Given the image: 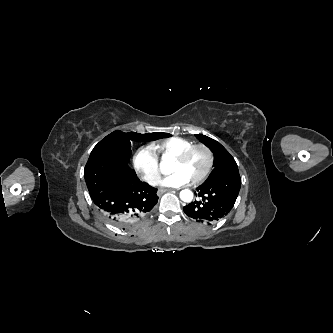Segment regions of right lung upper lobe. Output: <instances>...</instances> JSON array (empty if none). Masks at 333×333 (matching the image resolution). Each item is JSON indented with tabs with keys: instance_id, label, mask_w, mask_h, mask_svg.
I'll use <instances>...</instances> for the list:
<instances>
[{
	"instance_id": "obj_1",
	"label": "right lung upper lobe",
	"mask_w": 333,
	"mask_h": 333,
	"mask_svg": "<svg viewBox=\"0 0 333 333\" xmlns=\"http://www.w3.org/2000/svg\"><path fill=\"white\" fill-rule=\"evenodd\" d=\"M151 134H153V135H165L167 133H151Z\"/></svg>"
}]
</instances>
